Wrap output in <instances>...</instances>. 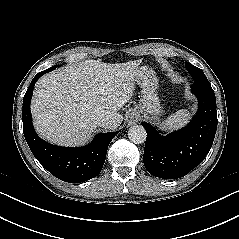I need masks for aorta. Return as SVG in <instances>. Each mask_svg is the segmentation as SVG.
Wrapping results in <instances>:
<instances>
[{
    "label": "aorta",
    "mask_w": 239,
    "mask_h": 239,
    "mask_svg": "<svg viewBox=\"0 0 239 239\" xmlns=\"http://www.w3.org/2000/svg\"><path fill=\"white\" fill-rule=\"evenodd\" d=\"M146 130L141 125H134L129 128L128 138L135 144L144 143L146 140Z\"/></svg>",
    "instance_id": "aorta-1"
}]
</instances>
